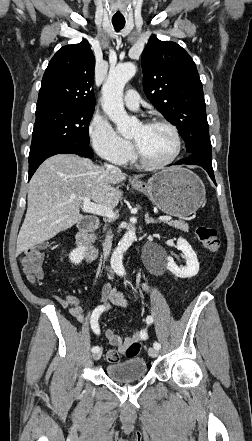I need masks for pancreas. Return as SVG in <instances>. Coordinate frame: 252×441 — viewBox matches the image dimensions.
<instances>
[{"label":"pancreas","instance_id":"1","mask_svg":"<svg viewBox=\"0 0 252 441\" xmlns=\"http://www.w3.org/2000/svg\"><path fill=\"white\" fill-rule=\"evenodd\" d=\"M167 224L184 232H188L189 229L188 224L181 220L169 221Z\"/></svg>","mask_w":252,"mask_h":441}]
</instances>
